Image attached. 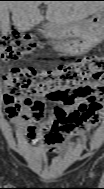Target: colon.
Listing matches in <instances>:
<instances>
[{
  "mask_svg": "<svg viewBox=\"0 0 104 189\" xmlns=\"http://www.w3.org/2000/svg\"><path fill=\"white\" fill-rule=\"evenodd\" d=\"M34 41L17 30L4 36L1 57L18 61L33 52ZM5 103H26L35 97L64 98L83 85L94 86L100 97L104 83V59L87 56L70 63H62L52 69L14 67L3 78ZM72 90V91H71Z\"/></svg>",
  "mask_w": 104,
  "mask_h": 189,
  "instance_id": "1",
  "label": "colon"
}]
</instances>
